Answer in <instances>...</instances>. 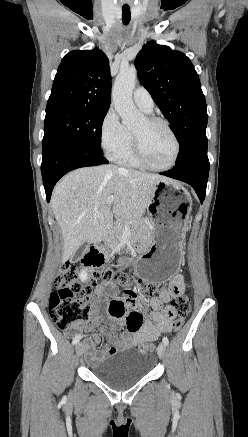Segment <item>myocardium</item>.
I'll list each match as a JSON object with an SVG mask.
<instances>
[{
	"mask_svg": "<svg viewBox=\"0 0 248 437\" xmlns=\"http://www.w3.org/2000/svg\"><path fill=\"white\" fill-rule=\"evenodd\" d=\"M145 121L149 125L160 124V125L164 126L174 141L175 151H174L173 158L169 164H167L165 166H154L151 163H149L148 160L146 159L144 152L142 150L140 139L138 138V136H136L135 134L132 133L133 151H134V154H135L137 160L139 161V163L143 167L150 169V170H153V171H166V170L171 169L172 167L175 166V164L178 160L179 154H180V142H179L177 135L175 134V132L173 131V129L171 128L169 123L160 117H154V116L146 117Z\"/></svg>",
	"mask_w": 248,
	"mask_h": 437,
	"instance_id": "f54148a6",
	"label": "myocardium"
}]
</instances>
